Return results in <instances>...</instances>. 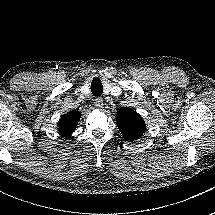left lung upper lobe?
Returning <instances> with one entry per match:
<instances>
[{"mask_svg": "<svg viewBox=\"0 0 215 215\" xmlns=\"http://www.w3.org/2000/svg\"><path fill=\"white\" fill-rule=\"evenodd\" d=\"M116 123L125 139L134 141L146 130L144 120L136 111L123 108L116 114Z\"/></svg>", "mask_w": 215, "mask_h": 215, "instance_id": "left-lung-upper-lobe-1", "label": "left lung upper lobe"}]
</instances>
